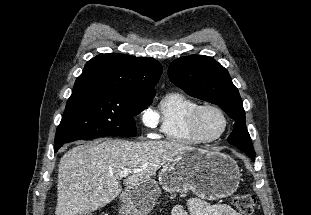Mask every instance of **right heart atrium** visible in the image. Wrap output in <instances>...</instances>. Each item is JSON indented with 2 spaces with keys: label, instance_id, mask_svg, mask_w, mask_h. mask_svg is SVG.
Here are the masks:
<instances>
[{
  "label": "right heart atrium",
  "instance_id": "right-heart-atrium-1",
  "mask_svg": "<svg viewBox=\"0 0 311 215\" xmlns=\"http://www.w3.org/2000/svg\"><path fill=\"white\" fill-rule=\"evenodd\" d=\"M139 120L143 126V130H144L145 135L146 136H152L153 133L151 130L154 129L156 127V124H157V120H156L154 113L149 109H145V110L140 112Z\"/></svg>",
  "mask_w": 311,
  "mask_h": 215
}]
</instances>
